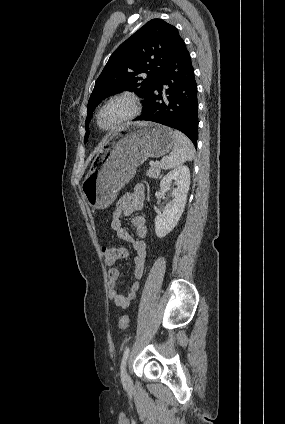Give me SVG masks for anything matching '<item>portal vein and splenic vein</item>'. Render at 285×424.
Returning a JSON list of instances; mask_svg holds the SVG:
<instances>
[{
    "label": "portal vein and splenic vein",
    "instance_id": "18ae733b",
    "mask_svg": "<svg viewBox=\"0 0 285 424\" xmlns=\"http://www.w3.org/2000/svg\"><path fill=\"white\" fill-rule=\"evenodd\" d=\"M154 164V162H150V165H153Z\"/></svg>",
    "mask_w": 285,
    "mask_h": 424
}]
</instances>
